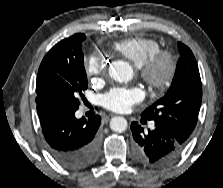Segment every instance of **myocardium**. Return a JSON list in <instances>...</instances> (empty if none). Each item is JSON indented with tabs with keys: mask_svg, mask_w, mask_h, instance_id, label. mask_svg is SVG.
I'll list each match as a JSON object with an SVG mask.
<instances>
[{
	"mask_svg": "<svg viewBox=\"0 0 223 188\" xmlns=\"http://www.w3.org/2000/svg\"><path fill=\"white\" fill-rule=\"evenodd\" d=\"M177 59L167 50H159L139 66L143 81L155 90L168 88L177 73Z\"/></svg>",
	"mask_w": 223,
	"mask_h": 188,
	"instance_id": "1",
	"label": "myocardium"
}]
</instances>
